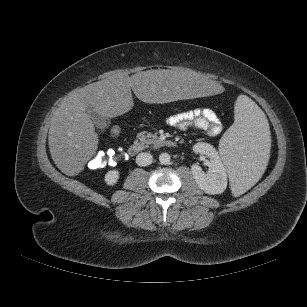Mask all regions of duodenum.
I'll return each instance as SVG.
<instances>
[{"instance_id":"410a0bca","label":"duodenum","mask_w":307,"mask_h":307,"mask_svg":"<svg viewBox=\"0 0 307 307\" xmlns=\"http://www.w3.org/2000/svg\"><path fill=\"white\" fill-rule=\"evenodd\" d=\"M157 146H168V147H173L175 146V143L171 140L168 139H159L157 141ZM145 145L142 142H133L130 144V146L127 149L128 155L133 157L136 156L137 154H139L143 149H144Z\"/></svg>"}]
</instances>
